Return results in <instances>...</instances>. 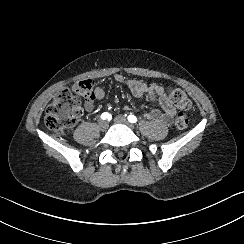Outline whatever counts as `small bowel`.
Listing matches in <instances>:
<instances>
[{
    "label": "small bowel",
    "mask_w": 244,
    "mask_h": 244,
    "mask_svg": "<svg viewBox=\"0 0 244 244\" xmlns=\"http://www.w3.org/2000/svg\"><path fill=\"white\" fill-rule=\"evenodd\" d=\"M115 79L118 83L125 85L132 96L143 97L152 105H159L160 108H155L144 113V117L148 120L168 125L172 122L175 115V108L169 102L165 88L156 83L144 82L138 79H127L122 74H117ZM105 98V91L102 86H97L94 89L93 95L84 103V108L87 112H92L95 108V100H103ZM125 109H129L128 106Z\"/></svg>",
    "instance_id": "c3829d8e"
}]
</instances>
